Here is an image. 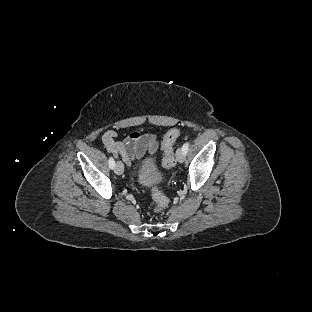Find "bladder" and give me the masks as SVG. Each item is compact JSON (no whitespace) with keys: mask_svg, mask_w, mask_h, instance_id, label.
<instances>
[{"mask_svg":"<svg viewBox=\"0 0 312 312\" xmlns=\"http://www.w3.org/2000/svg\"><path fill=\"white\" fill-rule=\"evenodd\" d=\"M154 160L152 159V158H148L147 160H146V162H145V166H146V168H148V169H151V168H153L154 167Z\"/></svg>","mask_w":312,"mask_h":312,"instance_id":"1","label":"bladder"}]
</instances>
